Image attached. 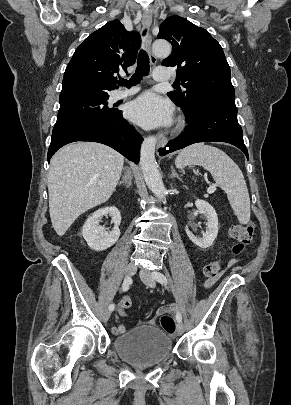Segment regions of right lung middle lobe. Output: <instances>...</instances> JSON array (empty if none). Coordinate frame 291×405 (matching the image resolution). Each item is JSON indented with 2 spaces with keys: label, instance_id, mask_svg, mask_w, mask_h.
<instances>
[{
  "label": "right lung middle lobe",
  "instance_id": "1",
  "mask_svg": "<svg viewBox=\"0 0 291 405\" xmlns=\"http://www.w3.org/2000/svg\"><path fill=\"white\" fill-rule=\"evenodd\" d=\"M108 98H82L60 102L53 133L75 124L110 118L116 110L108 108Z\"/></svg>",
  "mask_w": 291,
  "mask_h": 405
}]
</instances>
